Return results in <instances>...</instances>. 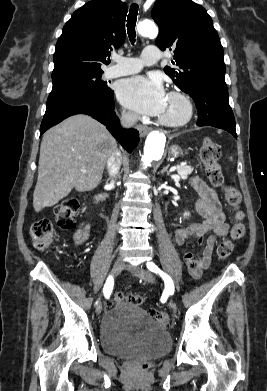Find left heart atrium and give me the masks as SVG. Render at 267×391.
Wrapping results in <instances>:
<instances>
[{
    "label": "left heart atrium",
    "mask_w": 267,
    "mask_h": 391,
    "mask_svg": "<svg viewBox=\"0 0 267 391\" xmlns=\"http://www.w3.org/2000/svg\"><path fill=\"white\" fill-rule=\"evenodd\" d=\"M117 95L124 106L146 115H160L167 100L160 79L147 76H134L123 80Z\"/></svg>",
    "instance_id": "39dd6f15"
}]
</instances>
